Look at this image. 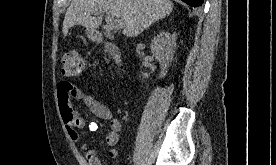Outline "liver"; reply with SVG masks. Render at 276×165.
Here are the masks:
<instances>
[{
  "mask_svg": "<svg viewBox=\"0 0 276 165\" xmlns=\"http://www.w3.org/2000/svg\"><path fill=\"white\" fill-rule=\"evenodd\" d=\"M173 10L170 0H72L63 21V35L75 25L97 29L102 23V16L109 12L123 24V34L136 37L154 22L169 16Z\"/></svg>",
  "mask_w": 276,
  "mask_h": 165,
  "instance_id": "1",
  "label": "liver"
}]
</instances>
